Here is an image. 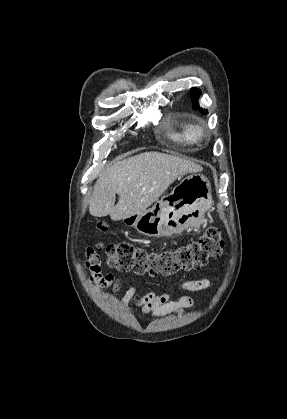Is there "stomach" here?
Instances as JSON below:
<instances>
[{
	"mask_svg": "<svg viewBox=\"0 0 287 419\" xmlns=\"http://www.w3.org/2000/svg\"><path fill=\"white\" fill-rule=\"evenodd\" d=\"M212 204L209 180L193 173L177 184L170 194L162 196L155 204L139 214L122 219L140 234L149 237H169L194 226L204 217Z\"/></svg>",
	"mask_w": 287,
	"mask_h": 419,
	"instance_id": "1",
	"label": "stomach"
}]
</instances>
